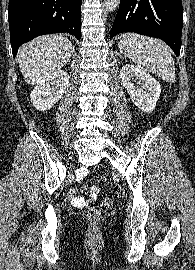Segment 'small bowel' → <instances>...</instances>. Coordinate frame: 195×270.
Masks as SVG:
<instances>
[{
  "label": "small bowel",
  "mask_w": 195,
  "mask_h": 270,
  "mask_svg": "<svg viewBox=\"0 0 195 270\" xmlns=\"http://www.w3.org/2000/svg\"><path fill=\"white\" fill-rule=\"evenodd\" d=\"M87 173H88V169H86V168H82V169L79 170V175L80 176H84ZM91 192H92V198L95 199L97 197L98 193H99V190L96 187H92ZM70 202L75 207H83V206H85L84 198L81 197V196L76 195L74 190H72L70 192Z\"/></svg>",
  "instance_id": "small-bowel-1"
}]
</instances>
